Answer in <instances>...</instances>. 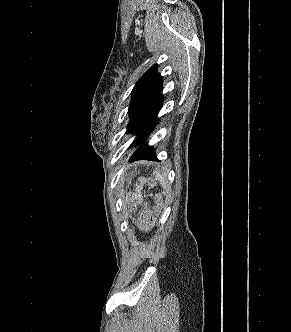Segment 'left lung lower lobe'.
<instances>
[{"label": "left lung lower lobe", "instance_id": "1", "mask_svg": "<svg viewBox=\"0 0 291 332\" xmlns=\"http://www.w3.org/2000/svg\"><path fill=\"white\" fill-rule=\"evenodd\" d=\"M163 104V95L159 94L156 98L151 100L145 106L143 111L139 130L137 131V141L142 142L145 138H147L148 134L152 131L153 127L157 121V114L160 111ZM137 159H156L155 152L152 147L147 145L142 146L139 150L133 155L132 160Z\"/></svg>", "mask_w": 291, "mask_h": 332}]
</instances>
